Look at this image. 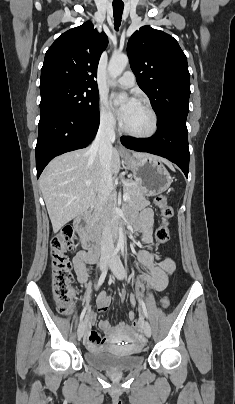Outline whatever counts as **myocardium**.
I'll return each mask as SVG.
<instances>
[{
	"label": "myocardium",
	"instance_id": "1",
	"mask_svg": "<svg viewBox=\"0 0 235 404\" xmlns=\"http://www.w3.org/2000/svg\"><path fill=\"white\" fill-rule=\"evenodd\" d=\"M139 105H141L143 108H145L147 110V112L149 113L150 117H151V126L150 129L147 132L144 133H137L134 131L129 130L124 123H122L121 125V130L122 132L134 139H140V140H144V139H149L152 138L158 131V116L156 111L153 109V107L146 101H139L138 102Z\"/></svg>",
	"mask_w": 235,
	"mask_h": 404
}]
</instances>
